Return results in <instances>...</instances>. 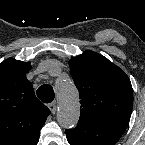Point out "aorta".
Segmentation results:
<instances>
[{"instance_id": "aorta-1", "label": "aorta", "mask_w": 145, "mask_h": 145, "mask_svg": "<svg viewBox=\"0 0 145 145\" xmlns=\"http://www.w3.org/2000/svg\"><path fill=\"white\" fill-rule=\"evenodd\" d=\"M58 123L64 128H73L79 120L80 106L77 90L71 80L61 79L57 82Z\"/></svg>"}]
</instances>
